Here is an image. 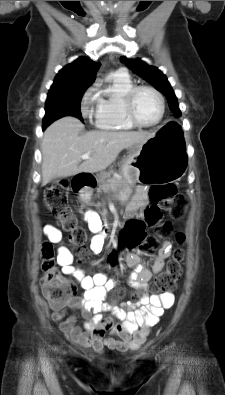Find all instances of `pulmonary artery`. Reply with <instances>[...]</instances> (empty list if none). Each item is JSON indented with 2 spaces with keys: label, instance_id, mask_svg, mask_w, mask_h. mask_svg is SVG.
Here are the masks:
<instances>
[{
  "label": "pulmonary artery",
  "instance_id": "1",
  "mask_svg": "<svg viewBox=\"0 0 225 395\" xmlns=\"http://www.w3.org/2000/svg\"><path fill=\"white\" fill-rule=\"evenodd\" d=\"M119 72H122V73H125V71L122 69V70H120Z\"/></svg>",
  "mask_w": 225,
  "mask_h": 395
}]
</instances>
